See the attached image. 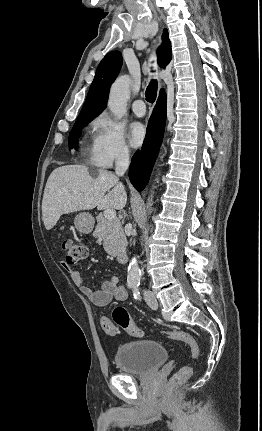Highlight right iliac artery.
<instances>
[{
  "instance_id": "right-iliac-artery-1",
  "label": "right iliac artery",
  "mask_w": 262,
  "mask_h": 431,
  "mask_svg": "<svg viewBox=\"0 0 262 431\" xmlns=\"http://www.w3.org/2000/svg\"><path fill=\"white\" fill-rule=\"evenodd\" d=\"M134 285H136V283H134V282H129L128 283V287H130V288H132Z\"/></svg>"
}]
</instances>
